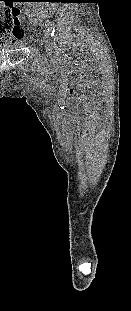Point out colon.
Returning a JSON list of instances; mask_svg holds the SVG:
<instances>
[{
    "mask_svg": "<svg viewBox=\"0 0 131 311\" xmlns=\"http://www.w3.org/2000/svg\"><path fill=\"white\" fill-rule=\"evenodd\" d=\"M21 11L17 8H2L0 6V32H10L16 28L25 29L26 24L21 23ZM29 27V26H28Z\"/></svg>",
    "mask_w": 131,
    "mask_h": 311,
    "instance_id": "colon-1",
    "label": "colon"
}]
</instances>
